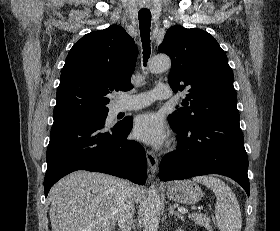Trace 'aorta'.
<instances>
[{"label":"aorta","instance_id":"1","mask_svg":"<svg viewBox=\"0 0 280 231\" xmlns=\"http://www.w3.org/2000/svg\"><path fill=\"white\" fill-rule=\"evenodd\" d=\"M169 68H171V60L168 56H156L148 64V70L151 74H160ZM160 203L159 191L155 185H151L144 203L143 231H158Z\"/></svg>","mask_w":280,"mask_h":231}]
</instances>
